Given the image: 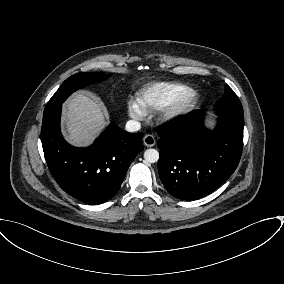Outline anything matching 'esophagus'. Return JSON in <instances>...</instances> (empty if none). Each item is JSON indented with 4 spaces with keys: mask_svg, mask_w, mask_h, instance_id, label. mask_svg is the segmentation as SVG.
I'll return each mask as SVG.
<instances>
[{
    "mask_svg": "<svg viewBox=\"0 0 284 284\" xmlns=\"http://www.w3.org/2000/svg\"><path fill=\"white\" fill-rule=\"evenodd\" d=\"M143 143L147 147H153L155 145L156 141H155V138H154L153 135L148 134V135L144 136Z\"/></svg>",
    "mask_w": 284,
    "mask_h": 284,
    "instance_id": "1",
    "label": "esophagus"
}]
</instances>
